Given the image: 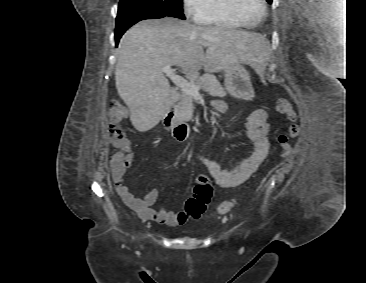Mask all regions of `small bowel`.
Segmentation results:
<instances>
[{"instance_id": "c3829d8e", "label": "small bowel", "mask_w": 366, "mask_h": 283, "mask_svg": "<svg viewBox=\"0 0 366 283\" xmlns=\"http://www.w3.org/2000/svg\"><path fill=\"white\" fill-rule=\"evenodd\" d=\"M212 106L218 112H225L227 109L226 104L218 99L212 102ZM269 128L267 111L262 108L256 109L249 113L246 120V135L253 144V150L249 157L231 168L223 167L212 153L199 157L218 186L224 188L238 186L257 170L269 152ZM110 169L117 193L140 217L168 226H179L185 223L187 217L184 213L152 208L158 198L156 188L149 190L143 198L135 197L124 182L127 167H122L117 162L116 155L110 161Z\"/></svg>"}]
</instances>
